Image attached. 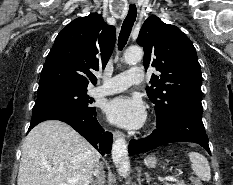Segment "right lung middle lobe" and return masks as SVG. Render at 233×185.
I'll return each mask as SVG.
<instances>
[{"label": "right lung middle lobe", "instance_id": "obj_1", "mask_svg": "<svg viewBox=\"0 0 233 185\" xmlns=\"http://www.w3.org/2000/svg\"><path fill=\"white\" fill-rule=\"evenodd\" d=\"M92 103L87 95V89L54 87L38 90L35 106L56 105L94 112L96 109L91 106Z\"/></svg>", "mask_w": 233, "mask_h": 185}]
</instances>
